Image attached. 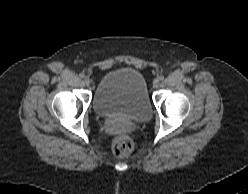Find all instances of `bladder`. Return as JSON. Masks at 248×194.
<instances>
[{
    "label": "bladder",
    "mask_w": 248,
    "mask_h": 194,
    "mask_svg": "<svg viewBox=\"0 0 248 194\" xmlns=\"http://www.w3.org/2000/svg\"><path fill=\"white\" fill-rule=\"evenodd\" d=\"M93 107L103 117L119 116L136 122L148 120L152 106L144 75L133 68L107 72L96 86Z\"/></svg>",
    "instance_id": "bladder-1"
}]
</instances>
